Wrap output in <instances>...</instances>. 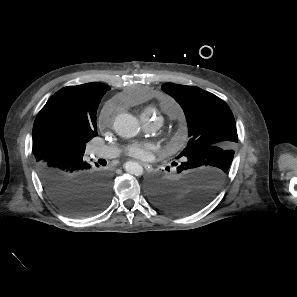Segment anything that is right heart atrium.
Returning <instances> with one entry per match:
<instances>
[{"label": "right heart atrium", "instance_id": "right-heart-atrium-1", "mask_svg": "<svg viewBox=\"0 0 297 297\" xmlns=\"http://www.w3.org/2000/svg\"><path fill=\"white\" fill-rule=\"evenodd\" d=\"M113 113H114L113 105L111 103H107L104 106L102 114H101V121L104 125H107L110 123V121L112 120V117H113Z\"/></svg>", "mask_w": 297, "mask_h": 297}]
</instances>
